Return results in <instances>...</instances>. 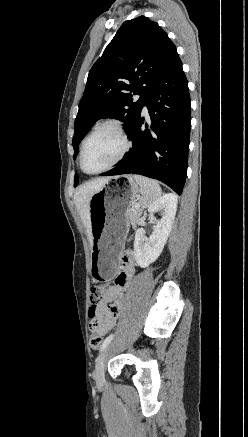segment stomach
<instances>
[{
    "label": "stomach",
    "mask_w": 248,
    "mask_h": 437,
    "mask_svg": "<svg viewBox=\"0 0 248 437\" xmlns=\"http://www.w3.org/2000/svg\"><path fill=\"white\" fill-rule=\"evenodd\" d=\"M137 199L140 204V188L132 175L109 179L91 197L92 277L100 286H109L117 273L129 229L127 213Z\"/></svg>",
    "instance_id": "obj_1"
}]
</instances>
